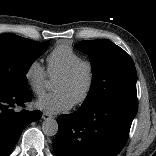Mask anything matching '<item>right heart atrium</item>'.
<instances>
[{"label":"right heart atrium","mask_w":156,"mask_h":156,"mask_svg":"<svg viewBox=\"0 0 156 156\" xmlns=\"http://www.w3.org/2000/svg\"><path fill=\"white\" fill-rule=\"evenodd\" d=\"M25 81L30 90L37 96L45 91L47 72L38 60H33L24 73Z\"/></svg>","instance_id":"d8ad5b80"}]
</instances>
